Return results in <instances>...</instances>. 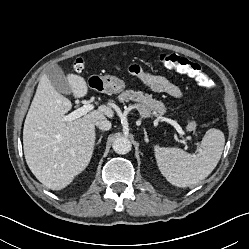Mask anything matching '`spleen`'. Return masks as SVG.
Returning <instances> with one entry per match:
<instances>
[{
  "label": "spleen",
  "instance_id": "spleen-1",
  "mask_svg": "<svg viewBox=\"0 0 249 249\" xmlns=\"http://www.w3.org/2000/svg\"><path fill=\"white\" fill-rule=\"evenodd\" d=\"M225 145L224 133L209 129L201 141L198 154L191 155L179 148L154 146L159 170L173 185H194L209 176L217 166Z\"/></svg>",
  "mask_w": 249,
  "mask_h": 249
}]
</instances>
